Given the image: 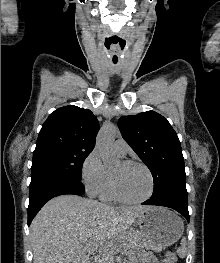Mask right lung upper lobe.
Segmentation results:
<instances>
[{
	"label": "right lung upper lobe",
	"mask_w": 220,
	"mask_h": 263,
	"mask_svg": "<svg viewBox=\"0 0 220 263\" xmlns=\"http://www.w3.org/2000/svg\"><path fill=\"white\" fill-rule=\"evenodd\" d=\"M99 123L88 109L69 105L53 111L44 122L34 152L51 148L93 150Z\"/></svg>",
	"instance_id": "obj_1"
}]
</instances>
